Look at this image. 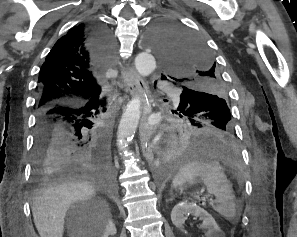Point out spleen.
I'll use <instances>...</instances> for the list:
<instances>
[{"label":"spleen","instance_id":"3e777b00","mask_svg":"<svg viewBox=\"0 0 297 237\" xmlns=\"http://www.w3.org/2000/svg\"><path fill=\"white\" fill-rule=\"evenodd\" d=\"M202 181L209 195H214L212 207L227 220L236 216L235 196L219 161L194 159L187 162L173 179V187Z\"/></svg>","mask_w":297,"mask_h":237}]
</instances>
